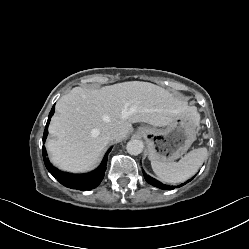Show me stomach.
Returning <instances> with one entry per match:
<instances>
[{
	"instance_id": "obj_1",
	"label": "stomach",
	"mask_w": 249,
	"mask_h": 249,
	"mask_svg": "<svg viewBox=\"0 0 249 249\" xmlns=\"http://www.w3.org/2000/svg\"><path fill=\"white\" fill-rule=\"evenodd\" d=\"M197 114H181L163 129L140 127L138 132L146 140L149 160L168 163L182 157L196 140Z\"/></svg>"
}]
</instances>
